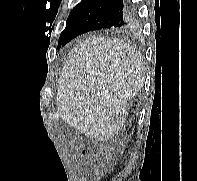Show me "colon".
I'll return each instance as SVG.
<instances>
[{
	"label": "colon",
	"mask_w": 197,
	"mask_h": 181,
	"mask_svg": "<svg viewBox=\"0 0 197 181\" xmlns=\"http://www.w3.org/2000/svg\"><path fill=\"white\" fill-rule=\"evenodd\" d=\"M112 162L107 155H103L96 164V171L98 174L103 175L110 170Z\"/></svg>",
	"instance_id": "5ec220e1"
}]
</instances>
